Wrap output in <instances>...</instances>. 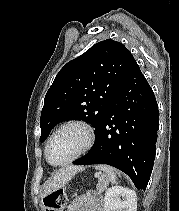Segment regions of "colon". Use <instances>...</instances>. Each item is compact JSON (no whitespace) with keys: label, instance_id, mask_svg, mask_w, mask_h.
<instances>
[{"label":"colon","instance_id":"colon-1","mask_svg":"<svg viewBox=\"0 0 179 211\" xmlns=\"http://www.w3.org/2000/svg\"><path fill=\"white\" fill-rule=\"evenodd\" d=\"M66 194L63 190H57L44 198L46 211H60L66 204Z\"/></svg>","mask_w":179,"mask_h":211}]
</instances>
